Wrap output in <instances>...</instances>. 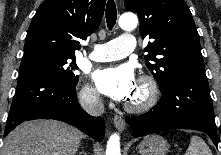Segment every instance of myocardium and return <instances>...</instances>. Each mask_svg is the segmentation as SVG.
<instances>
[{
  "mask_svg": "<svg viewBox=\"0 0 221 155\" xmlns=\"http://www.w3.org/2000/svg\"><path fill=\"white\" fill-rule=\"evenodd\" d=\"M139 85L144 90L143 98L138 102H127L125 109L131 113H142L151 109L159 97V87L156 80L150 75H142L139 79Z\"/></svg>",
  "mask_w": 221,
  "mask_h": 155,
  "instance_id": "1",
  "label": "myocardium"
}]
</instances>
